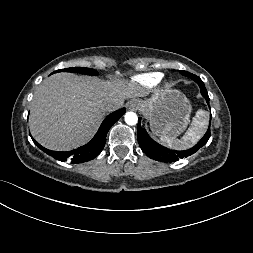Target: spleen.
Returning a JSON list of instances; mask_svg holds the SVG:
<instances>
[{
    "mask_svg": "<svg viewBox=\"0 0 253 253\" xmlns=\"http://www.w3.org/2000/svg\"><path fill=\"white\" fill-rule=\"evenodd\" d=\"M208 124V112L198 110L192 123L181 139L160 136V141L175 150H186L196 144L205 133Z\"/></svg>",
    "mask_w": 253,
    "mask_h": 253,
    "instance_id": "3e777b00",
    "label": "spleen"
}]
</instances>
